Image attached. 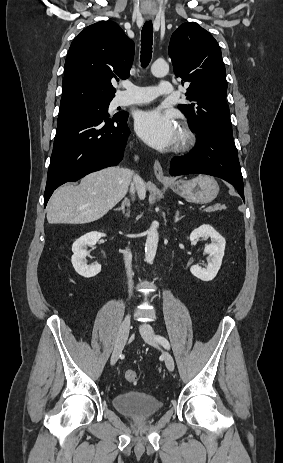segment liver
<instances>
[{
  "label": "liver",
  "mask_w": 283,
  "mask_h": 463,
  "mask_svg": "<svg viewBox=\"0 0 283 463\" xmlns=\"http://www.w3.org/2000/svg\"><path fill=\"white\" fill-rule=\"evenodd\" d=\"M132 173L123 167H108L66 184L52 195L47 206L50 224H86L111 210L127 193ZM139 198L146 196V184L137 185Z\"/></svg>",
  "instance_id": "liver-1"
}]
</instances>
